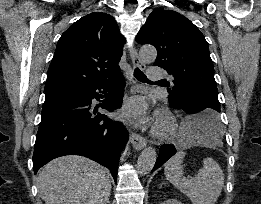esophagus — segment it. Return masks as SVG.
<instances>
[{"label":"esophagus","instance_id":"34e87169","mask_svg":"<svg viewBox=\"0 0 261 204\" xmlns=\"http://www.w3.org/2000/svg\"><path fill=\"white\" fill-rule=\"evenodd\" d=\"M130 57L133 68L145 69V64L140 60L136 48L131 49ZM131 142L136 150L143 149L147 144V141L144 137L134 132L131 133Z\"/></svg>","mask_w":261,"mask_h":204}]
</instances>
